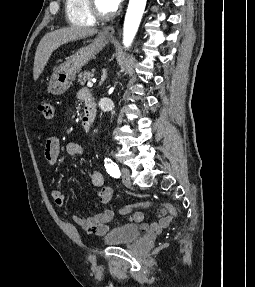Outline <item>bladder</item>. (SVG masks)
I'll return each mask as SVG.
<instances>
[{
	"label": "bladder",
	"instance_id": "1",
	"mask_svg": "<svg viewBox=\"0 0 255 287\" xmlns=\"http://www.w3.org/2000/svg\"><path fill=\"white\" fill-rule=\"evenodd\" d=\"M143 233V228L137 224L124 223L115 226L103 237L106 245L127 244L136 241Z\"/></svg>",
	"mask_w": 255,
	"mask_h": 287
}]
</instances>
